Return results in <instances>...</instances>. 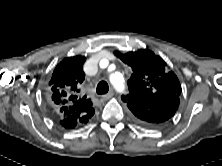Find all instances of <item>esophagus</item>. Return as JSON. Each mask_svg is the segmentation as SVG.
<instances>
[{"instance_id":"obj_1","label":"esophagus","mask_w":222,"mask_h":166,"mask_svg":"<svg viewBox=\"0 0 222 166\" xmlns=\"http://www.w3.org/2000/svg\"><path fill=\"white\" fill-rule=\"evenodd\" d=\"M113 96V91H110L109 93L102 96L103 100H109Z\"/></svg>"}]
</instances>
